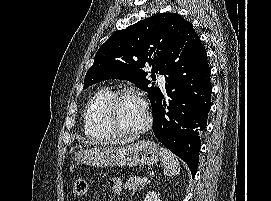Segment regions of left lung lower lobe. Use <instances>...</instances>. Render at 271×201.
Wrapping results in <instances>:
<instances>
[{
  "label": "left lung lower lobe",
  "instance_id": "left-lung-lower-lobe-1",
  "mask_svg": "<svg viewBox=\"0 0 271 201\" xmlns=\"http://www.w3.org/2000/svg\"><path fill=\"white\" fill-rule=\"evenodd\" d=\"M210 73L198 35L177 39L165 77L169 98L161 94L153 111L155 136L187 163L193 178L198 168L200 134L211 108Z\"/></svg>",
  "mask_w": 271,
  "mask_h": 201
}]
</instances>
